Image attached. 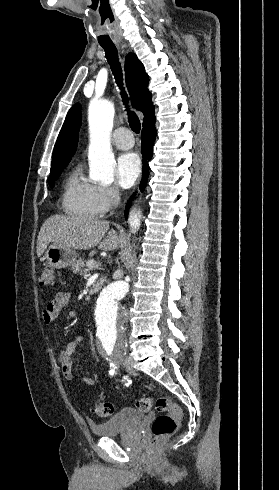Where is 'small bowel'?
I'll use <instances>...</instances> for the list:
<instances>
[{
  "label": "small bowel",
  "instance_id": "c3829d8e",
  "mask_svg": "<svg viewBox=\"0 0 279 490\" xmlns=\"http://www.w3.org/2000/svg\"><path fill=\"white\" fill-rule=\"evenodd\" d=\"M70 298L71 295L69 292L61 291L56 293L53 299L46 305L43 311L42 314L43 321L46 323L53 321L57 317L58 313L69 305ZM83 342H84V336L78 335L77 337H75L67 345L66 349H64L60 353L59 362L63 375L67 380L81 378L83 382L93 386L96 384L95 380L91 378L83 377L81 373L75 372L73 369L72 355L76 350V348L80 346Z\"/></svg>",
  "mask_w": 279,
  "mask_h": 490
}]
</instances>
